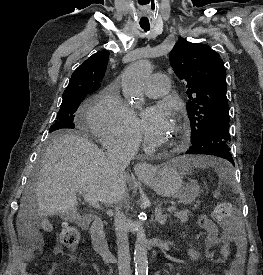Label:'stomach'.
I'll return each instance as SVG.
<instances>
[{
	"label": "stomach",
	"mask_w": 263,
	"mask_h": 275,
	"mask_svg": "<svg viewBox=\"0 0 263 275\" xmlns=\"http://www.w3.org/2000/svg\"><path fill=\"white\" fill-rule=\"evenodd\" d=\"M143 180L148 182L160 196L177 198L184 204L191 203L198 196V190L195 187L184 185L177 170L176 160L144 177Z\"/></svg>",
	"instance_id": "obj_1"
}]
</instances>
